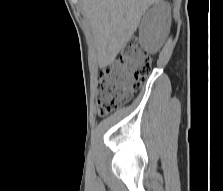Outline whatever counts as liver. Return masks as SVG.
Listing matches in <instances>:
<instances>
[{
    "label": "liver",
    "mask_w": 223,
    "mask_h": 191,
    "mask_svg": "<svg viewBox=\"0 0 223 191\" xmlns=\"http://www.w3.org/2000/svg\"><path fill=\"white\" fill-rule=\"evenodd\" d=\"M95 37L98 65H110L137 30L141 17L162 0H80Z\"/></svg>",
    "instance_id": "liver-1"
}]
</instances>
